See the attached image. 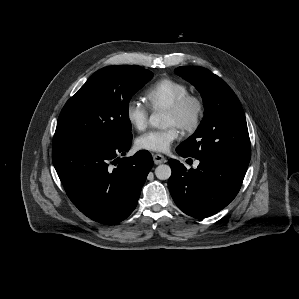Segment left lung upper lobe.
<instances>
[{"instance_id":"left-lung-upper-lobe-1","label":"left lung upper lobe","mask_w":299,"mask_h":299,"mask_svg":"<svg viewBox=\"0 0 299 299\" xmlns=\"http://www.w3.org/2000/svg\"><path fill=\"white\" fill-rule=\"evenodd\" d=\"M175 73L196 87L205 108L195 133L177 148L196 159L249 164L251 145L246 119L231 88L203 67L182 66Z\"/></svg>"}]
</instances>
